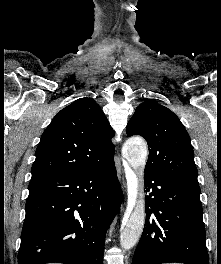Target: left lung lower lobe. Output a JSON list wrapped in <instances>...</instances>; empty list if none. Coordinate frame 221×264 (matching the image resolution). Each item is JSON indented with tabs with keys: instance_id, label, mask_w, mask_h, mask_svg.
<instances>
[{
	"instance_id": "obj_1",
	"label": "left lung lower lobe",
	"mask_w": 221,
	"mask_h": 264,
	"mask_svg": "<svg viewBox=\"0 0 221 264\" xmlns=\"http://www.w3.org/2000/svg\"><path fill=\"white\" fill-rule=\"evenodd\" d=\"M146 223L132 264H209L200 187L145 172Z\"/></svg>"
}]
</instances>
